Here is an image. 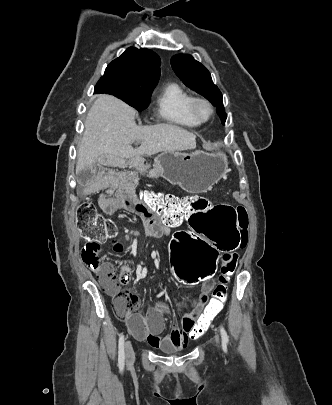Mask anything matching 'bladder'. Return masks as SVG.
<instances>
[{
  "label": "bladder",
  "instance_id": "obj_1",
  "mask_svg": "<svg viewBox=\"0 0 332 405\" xmlns=\"http://www.w3.org/2000/svg\"><path fill=\"white\" fill-rule=\"evenodd\" d=\"M177 352H179V350L178 349H176V348H171V349H168V350H166L165 351V353H177Z\"/></svg>",
  "mask_w": 332,
  "mask_h": 405
}]
</instances>
